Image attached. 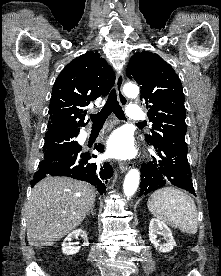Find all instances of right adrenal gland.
I'll return each instance as SVG.
<instances>
[{
    "instance_id": "2a0ac1e0",
    "label": "right adrenal gland",
    "mask_w": 221,
    "mask_h": 276,
    "mask_svg": "<svg viewBox=\"0 0 221 276\" xmlns=\"http://www.w3.org/2000/svg\"><path fill=\"white\" fill-rule=\"evenodd\" d=\"M94 208H95V205H93V207L91 208V210L88 212V216L90 215V214H92V215H94Z\"/></svg>"
}]
</instances>
